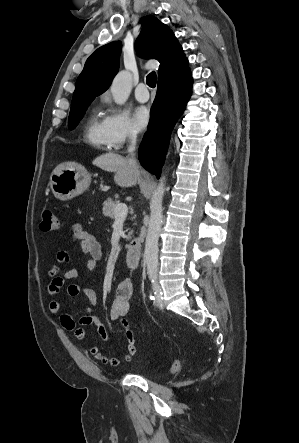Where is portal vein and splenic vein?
I'll return each instance as SVG.
<instances>
[{"label":"portal vein and splenic vein","instance_id":"1","mask_svg":"<svg viewBox=\"0 0 299 443\" xmlns=\"http://www.w3.org/2000/svg\"><path fill=\"white\" fill-rule=\"evenodd\" d=\"M128 208L126 204L120 203L115 207L114 215L115 220H124L127 216Z\"/></svg>","mask_w":299,"mask_h":443}]
</instances>
